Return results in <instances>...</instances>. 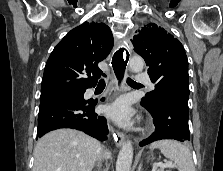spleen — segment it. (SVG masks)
I'll return each mask as SVG.
<instances>
[{
	"instance_id": "3e777b00",
	"label": "spleen",
	"mask_w": 223,
	"mask_h": 171,
	"mask_svg": "<svg viewBox=\"0 0 223 171\" xmlns=\"http://www.w3.org/2000/svg\"><path fill=\"white\" fill-rule=\"evenodd\" d=\"M159 148L162 154L173 161L179 171H196L190 150L174 140H161L151 144L150 149Z\"/></svg>"
}]
</instances>
